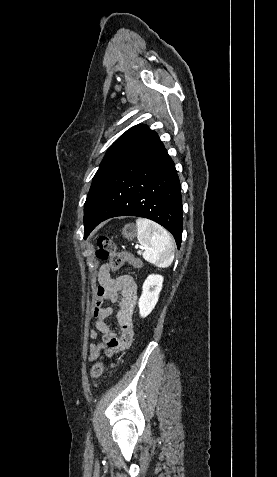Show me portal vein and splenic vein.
I'll return each mask as SVG.
<instances>
[{"instance_id":"1","label":"portal vein and splenic vein","mask_w":277,"mask_h":477,"mask_svg":"<svg viewBox=\"0 0 277 477\" xmlns=\"http://www.w3.org/2000/svg\"><path fill=\"white\" fill-rule=\"evenodd\" d=\"M135 248H136V249H138L139 247H138V246H136ZM139 253H140V251H139Z\"/></svg>"}]
</instances>
